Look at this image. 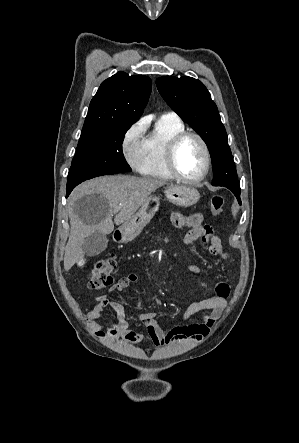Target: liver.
Segmentation results:
<instances>
[{"label": "liver", "mask_w": 299, "mask_h": 443, "mask_svg": "<svg viewBox=\"0 0 299 443\" xmlns=\"http://www.w3.org/2000/svg\"><path fill=\"white\" fill-rule=\"evenodd\" d=\"M165 183L155 178L115 175L95 178L77 186L69 197L71 227L65 248L64 269L70 270L83 258L82 245L88 236L95 232L110 234L114 230V223L120 225L127 222L151 193ZM116 209L118 212H115Z\"/></svg>", "instance_id": "1"}]
</instances>
